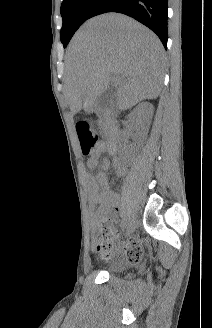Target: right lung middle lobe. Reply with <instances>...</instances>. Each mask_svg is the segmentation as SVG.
<instances>
[{"label":"right lung middle lobe","mask_w":212,"mask_h":328,"mask_svg":"<svg viewBox=\"0 0 212 328\" xmlns=\"http://www.w3.org/2000/svg\"><path fill=\"white\" fill-rule=\"evenodd\" d=\"M99 0H64L61 5L63 26L61 29V42L64 48L76 32L87 20L92 9Z\"/></svg>","instance_id":"1"}]
</instances>
